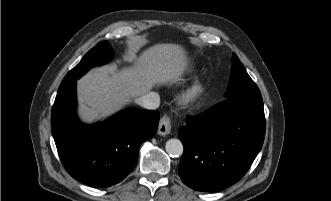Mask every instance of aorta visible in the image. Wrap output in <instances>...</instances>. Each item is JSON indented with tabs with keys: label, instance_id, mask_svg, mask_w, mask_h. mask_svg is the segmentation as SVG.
Masks as SVG:
<instances>
[{
	"label": "aorta",
	"instance_id": "obj_1",
	"mask_svg": "<svg viewBox=\"0 0 331 201\" xmlns=\"http://www.w3.org/2000/svg\"><path fill=\"white\" fill-rule=\"evenodd\" d=\"M165 149L172 157H179L183 154V144L179 139H169L166 142Z\"/></svg>",
	"mask_w": 331,
	"mask_h": 201
}]
</instances>
